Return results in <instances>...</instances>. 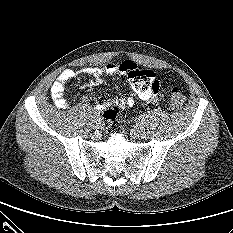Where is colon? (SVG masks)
<instances>
[{"instance_id": "1", "label": "colon", "mask_w": 233, "mask_h": 233, "mask_svg": "<svg viewBox=\"0 0 233 233\" xmlns=\"http://www.w3.org/2000/svg\"><path fill=\"white\" fill-rule=\"evenodd\" d=\"M129 77L134 81L148 82L152 77V73L150 70H147L140 66H134L129 72ZM184 102L185 95L183 94L182 90L177 86H171L169 89L170 107L174 110H179L183 107ZM120 109L121 108L119 107V105L115 103L104 111L103 116L108 122H111L115 119Z\"/></svg>"}]
</instances>
